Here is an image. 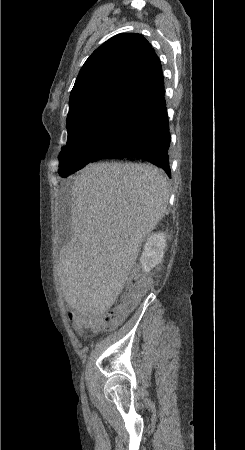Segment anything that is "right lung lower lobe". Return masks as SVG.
<instances>
[{
    "label": "right lung lower lobe",
    "mask_w": 245,
    "mask_h": 450,
    "mask_svg": "<svg viewBox=\"0 0 245 450\" xmlns=\"http://www.w3.org/2000/svg\"><path fill=\"white\" fill-rule=\"evenodd\" d=\"M169 146V123L163 94L136 113L125 138L109 151L97 154L91 161L106 158H136L161 167L171 177Z\"/></svg>",
    "instance_id": "right-lung-lower-lobe-1"
}]
</instances>
